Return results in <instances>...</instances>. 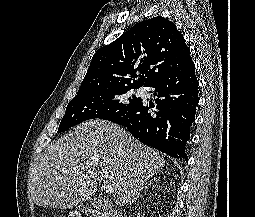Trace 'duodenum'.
I'll use <instances>...</instances> for the list:
<instances>
[{
	"mask_svg": "<svg viewBox=\"0 0 255 217\" xmlns=\"http://www.w3.org/2000/svg\"><path fill=\"white\" fill-rule=\"evenodd\" d=\"M89 217H124L119 210H97L90 207L84 208Z\"/></svg>",
	"mask_w": 255,
	"mask_h": 217,
	"instance_id": "obj_1",
	"label": "duodenum"
}]
</instances>
